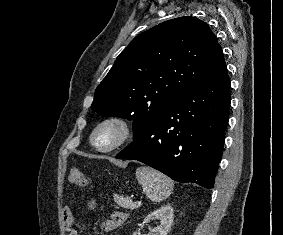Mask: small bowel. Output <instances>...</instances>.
I'll list each match as a JSON object with an SVG mask.
<instances>
[{
  "label": "small bowel",
  "mask_w": 283,
  "mask_h": 235,
  "mask_svg": "<svg viewBox=\"0 0 283 235\" xmlns=\"http://www.w3.org/2000/svg\"><path fill=\"white\" fill-rule=\"evenodd\" d=\"M64 223L69 229L68 235H79L78 232L74 229H71L73 223V213L70 209L66 208L63 212ZM127 220V214L123 212H114L109 219L103 221L102 230L105 233L114 232L117 228L122 226Z\"/></svg>",
  "instance_id": "small-bowel-1"
}]
</instances>
